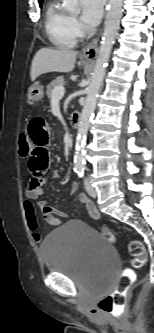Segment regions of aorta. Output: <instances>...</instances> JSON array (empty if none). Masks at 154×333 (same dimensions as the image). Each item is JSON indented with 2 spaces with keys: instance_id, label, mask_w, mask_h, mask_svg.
Instances as JSON below:
<instances>
[{
  "instance_id": "obj_1",
  "label": "aorta",
  "mask_w": 154,
  "mask_h": 333,
  "mask_svg": "<svg viewBox=\"0 0 154 333\" xmlns=\"http://www.w3.org/2000/svg\"><path fill=\"white\" fill-rule=\"evenodd\" d=\"M63 7L71 13L80 12L79 0H63ZM123 14V0H109V9L106 14L104 33L96 57L91 82L87 90L86 101L79 119L76 138L74 167L77 170L85 166V145L90 122L96 108L98 94L105 76L106 66L109 61L112 46L120 26Z\"/></svg>"
}]
</instances>
